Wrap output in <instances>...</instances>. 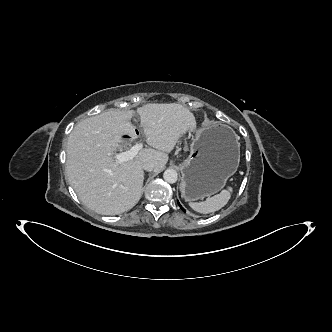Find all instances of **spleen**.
Here are the masks:
<instances>
[{"mask_svg":"<svg viewBox=\"0 0 332 332\" xmlns=\"http://www.w3.org/2000/svg\"><path fill=\"white\" fill-rule=\"evenodd\" d=\"M232 187L222 190L219 194L208 198L204 202H190V207L198 213L208 214L220 210L231 197Z\"/></svg>","mask_w":332,"mask_h":332,"instance_id":"3e777b00","label":"spleen"}]
</instances>
